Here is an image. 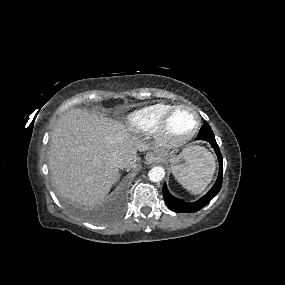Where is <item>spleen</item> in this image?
<instances>
[{"instance_id": "obj_1", "label": "spleen", "mask_w": 285, "mask_h": 285, "mask_svg": "<svg viewBox=\"0 0 285 285\" xmlns=\"http://www.w3.org/2000/svg\"><path fill=\"white\" fill-rule=\"evenodd\" d=\"M182 156L185 163L172 168L175 178L192 194L202 193L211 182L216 168L214 156L201 146H190Z\"/></svg>"}]
</instances>
